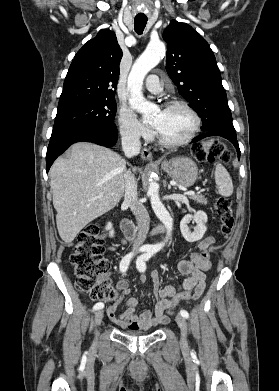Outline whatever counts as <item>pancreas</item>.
I'll use <instances>...</instances> for the list:
<instances>
[{
  "instance_id": "cf45deb5",
  "label": "pancreas",
  "mask_w": 279,
  "mask_h": 391,
  "mask_svg": "<svg viewBox=\"0 0 279 391\" xmlns=\"http://www.w3.org/2000/svg\"><path fill=\"white\" fill-rule=\"evenodd\" d=\"M189 198L194 200V201H196L197 203H200V204H203V205L207 204V198L204 195L200 194V193H198L196 195L195 194L191 195Z\"/></svg>"
}]
</instances>
